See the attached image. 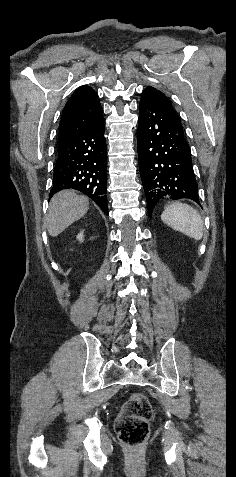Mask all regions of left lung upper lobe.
Wrapping results in <instances>:
<instances>
[{
	"instance_id": "1",
	"label": "left lung upper lobe",
	"mask_w": 236,
	"mask_h": 477,
	"mask_svg": "<svg viewBox=\"0 0 236 477\" xmlns=\"http://www.w3.org/2000/svg\"><path fill=\"white\" fill-rule=\"evenodd\" d=\"M166 98H167V97H166ZM167 99H168V98H167ZM168 101H169V100H168ZM169 103H170V101H169ZM170 104H171V103H170ZM171 106H172V105H171ZM172 108H173V107H172ZM173 110H174V109H173ZM174 111H175V110H174ZM176 114H177V113H176Z\"/></svg>"
}]
</instances>
